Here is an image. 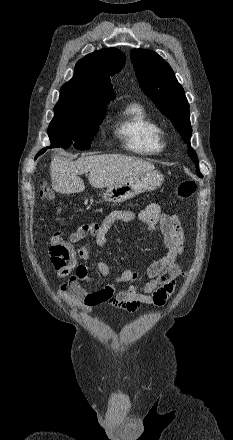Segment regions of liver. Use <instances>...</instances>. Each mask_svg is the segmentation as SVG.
Instances as JSON below:
<instances>
[{"label":"liver","mask_w":233,"mask_h":440,"mask_svg":"<svg viewBox=\"0 0 233 440\" xmlns=\"http://www.w3.org/2000/svg\"><path fill=\"white\" fill-rule=\"evenodd\" d=\"M155 166L136 157L118 154L82 156L76 161H67L55 155L50 164L52 188L62 194L84 191L85 185L79 175L89 172L92 187L113 186L131 175L154 170Z\"/></svg>","instance_id":"obj_1"}]
</instances>
